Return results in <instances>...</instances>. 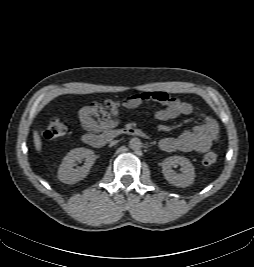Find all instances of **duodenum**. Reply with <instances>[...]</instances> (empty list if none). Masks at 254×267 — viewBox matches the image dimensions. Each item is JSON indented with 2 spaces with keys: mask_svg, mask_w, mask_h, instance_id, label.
Masks as SVG:
<instances>
[{
  "mask_svg": "<svg viewBox=\"0 0 254 267\" xmlns=\"http://www.w3.org/2000/svg\"><path fill=\"white\" fill-rule=\"evenodd\" d=\"M124 134L138 137H146V134L135 127H128L121 131ZM119 131H106L101 134L88 133L83 136L84 142L94 148H101L105 146V144L115 136L119 135Z\"/></svg>",
  "mask_w": 254,
  "mask_h": 267,
  "instance_id": "1",
  "label": "duodenum"
}]
</instances>
